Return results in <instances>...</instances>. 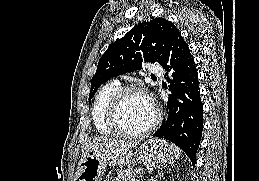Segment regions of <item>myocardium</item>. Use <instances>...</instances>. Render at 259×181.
<instances>
[{
  "mask_svg": "<svg viewBox=\"0 0 259 181\" xmlns=\"http://www.w3.org/2000/svg\"><path fill=\"white\" fill-rule=\"evenodd\" d=\"M133 94H137L140 96L145 97L147 100L150 101V103L152 104L154 110H155V116L153 121L146 126L145 128L138 130V131H130L125 129L121 123H120V111L122 108V105L125 101V99ZM161 120V112L160 109L157 107V105L155 104L153 98L150 96V94L142 87L139 86H125V87H121L113 96L109 108H108V121L109 124L113 127V129L125 136V137H129V138H138V137H142L147 135L148 133H150L151 131H153L157 125L159 124Z\"/></svg>",
  "mask_w": 259,
  "mask_h": 181,
  "instance_id": "obj_1",
  "label": "myocardium"
}]
</instances>
